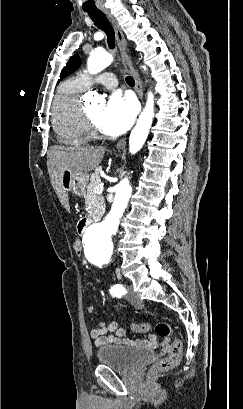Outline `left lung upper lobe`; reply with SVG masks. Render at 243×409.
Here are the masks:
<instances>
[{"instance_id": "left-lung-upper-lobe-1", "label": "left lung upper lobe", "mask_w": 243, "mask_h": 409, "mask_svg": "<svg viewBox=\"0 0 243 409\" xmlns=\"http://www.w3.org/2000/svg\"><path fill=\"white\" fill-rule=\"evenodd\" d=\"M81 65V59L78 55H74L70 58L66 66L63 68L60 74V78H64L68 74L74 72L76 69H78ZM59 79V81L61 80Z\"/></svg>"}]
</instances>
